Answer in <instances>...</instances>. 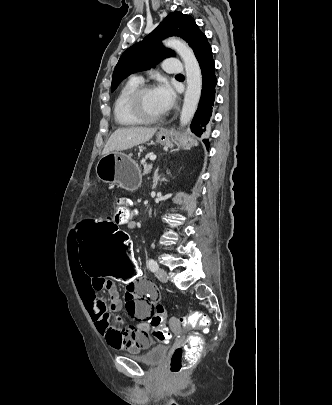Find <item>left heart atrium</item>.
Returning <instances> with one entry per match:
<instances>
[{"instance_id":"39dd6f15","label":"left heart atrium","mask_w":332,"mask_h":405,"mask_svg":"<svg viewBox=\"0 0 332 405\" xmlns=\"http://www.w3.org/2000/svg\"><path fill=\"white\" fill-rule=\"evenodd\" d=\"M155 92L164 111L171 109L175 102V93L171 86L163 81L155 88Z\"/></svg>"}]
</instances>
